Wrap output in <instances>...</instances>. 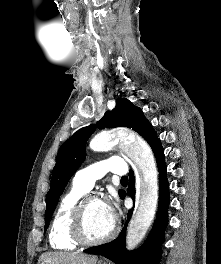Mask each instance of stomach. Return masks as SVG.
<instances>
[{"mask_svg": "<svg viewBox=\"0 0 221 264\" xmlns=\"http://www.w3.org/2000/svg\"><path fill=\"white\" fill-rule=\"evenodd\" d=\"M39 264H48V263H46V262H41V263H39ZM99 264H105V263H99Z\"/></svg>", "mask_w": 221, "mask_h": 264, "instance_id": "stomach-1", "label": "stomach"}]
</instances>
